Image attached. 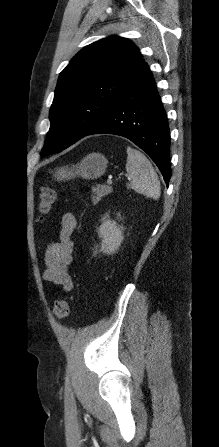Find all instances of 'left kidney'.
Wrapping results in <instances>:
<instances>
[{
    "mask_svg": "<svg viewBox=\"0 0 219 447\" xmlns=\"http://www.w3.org/2000/svg\"><path fill=\"white\" fill-rule=\"evenodd\" d=\"M99 228V237L102 239L101 252L105 254H113L118 250L123 241L122 228L118 227L115 221H111L104 217Z\"/></svg>",
    "mask_w": 219,
    "mask_h": 447,
    "instance_id": "5707ae66",
    "label": "left kidney"
}]
</instances>
